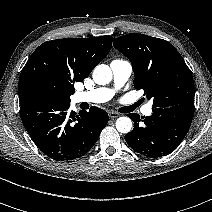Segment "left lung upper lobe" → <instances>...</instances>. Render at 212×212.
I'll list each match as a JSON object with an SVG mask.
<instances>
[{"instance_id":"5c2ea615","label":"left lung upper lobe","mask_w":212,"mask_h":212,"mask_svg":"<svg viewBox=\"0 0 212 212\" xmlns=\"http://www.w3.org/2000/svg\"><path fill=\"white\" fill-rule=\"evenodd\" d=\"M113 45L130 60L134 86L153 99L154 108L194 105L192 73L168 41L132 33L114 38Z\"/></svg>"}]
</instances>
